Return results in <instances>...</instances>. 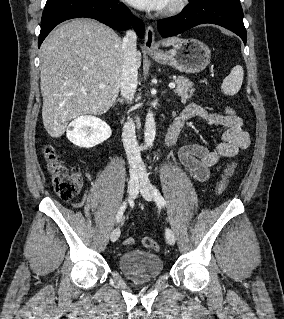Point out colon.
Instances as JSON below:
<instances>
[{"label":"colon","instance_id":"1","mask_svg":"<svg viewBox=\"0 0 284 319\" xmlns=\"http://www.w3.org/2000/svg\"><path fill=\"white\" fill-rule=\"evenodd\" d=\"M236 112L233 108L226 109L227 116H235ZM44 158L47 162L49 172L52 177V183L57 195L63 200H71L75 198L81 191L83 186V179L79 173H71L66 170L63 164L58 160L56 150L53 146H46L44 148ZM235 169V163H229L224 169L216 186V193L222 194L229 182ZM134 243V239L129 237L124 240V244L129 246ZM144 247L159 251V244L151 237H144L142 239Z\"/></svg>","mask_w":284,"mask_h":319}]
</instances>
